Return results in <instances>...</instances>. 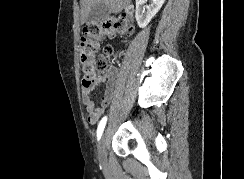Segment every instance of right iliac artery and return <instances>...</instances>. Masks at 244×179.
Returning <instances> with one entry per match:
<instances>
[{"label":"right iliac artery","mask_w":244,"mask_h":179,"mask_svg":"<svg viewBox=\"0 0 244 179\" xmlns=\"http://www.w3.org/2000/svg\"><path fill=\"white\" fill-rule=\"evenodd\" d=\"M106 121H107V117L105 116L104 118H102V120L100 121V123L98 125V129H97L98 140L101 138V135H102L103 130H104L105 125H106Z\"/></svg>","instance_id":"right-iliac-artery-1"}]
</instances>
